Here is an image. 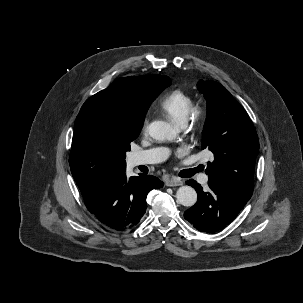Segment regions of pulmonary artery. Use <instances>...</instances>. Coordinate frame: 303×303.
Returning a JSON list of instances; mask_svg holds the SVG:
<instances>
[{
    "mask_svg": "<svg viewBox=\"0 0 303 303\" xmlns=\"http://www.w3.org/2000/svg\"><path fill=\"white\" fill-rule=\"evenodd\" d=\"M167 156L168 150L166 148H153L133 153L130 157V162L133 166L155 164L162 162ZM199 180L201 184L207 185L209 178L206 174H203Z\"/></svg>",
    "mask_w": 303,
    "mask_h": 303,
    "instance_id": "obj_1",
    "label": "pulmonary artery"
}]
</instances>
